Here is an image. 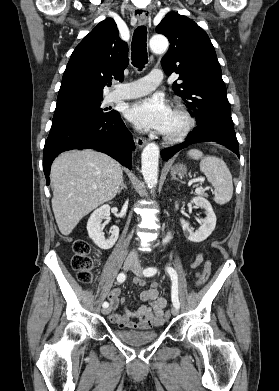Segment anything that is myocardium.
Returning a JSON list of instances; mask_svg holds the SVG:
<instances>
[{
	"mask_svg": "<svg viewBox=\"0 0 279 391\" xmlns=\"http://www.w3.org/2000/svg\"><path fill=\"white\" fill-rule=\"evenodd\" d=\"M171 111L176 113L183 119L184 125L176 133L173 134L164 133L163 140L167 143H177L184 140L189 135V133L191 132V130L195 125V120L190 114V112L186 109V107H184L181 104L174 105Z\"/></svg>",
	"mask_w": 279,
	"mask_h": 391,
	"instance_id": "myocardium-1",
	"label": "myocardium"
}]
</instances>
